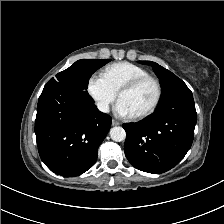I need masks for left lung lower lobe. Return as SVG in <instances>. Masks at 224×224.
I'll return each mask as SVG.
<instances>
[{"instance_id":"1","label":"left lung lower lobe","mask_w":224,"mask_h":224,"mask_svg":"<svg viewBox=\"0 0 224 224\" xmlns=\"http://www.w3.org/2000/svg\"><path fill=\"white\" fill-rule=\"evenodd\" d=\"M197 113L192 92L160 104L139 123L123 124L125 155L137 169L160 174L176 166L190 149Z\"/></svg>"}]
</instances>
